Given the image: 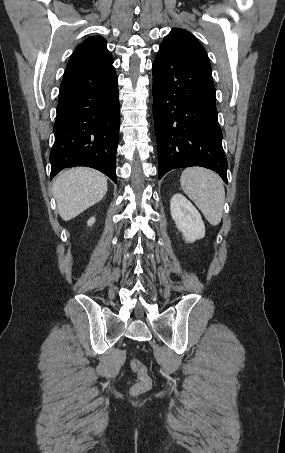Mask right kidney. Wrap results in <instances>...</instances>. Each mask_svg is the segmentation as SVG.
<instances>
[{
    "label": "right kidney",
    "instance_id": "ca27d5eb",
    "mask_svg": "<svg viewBox=\"0 0 285 453\" xmlns=\"http://www.w3.org/2000/svg\"><path fill=\"white\" fill-rule=\"evenodd\" d=\"M94 222H95V218H94V217H91V218L88 220L87 224H88V226H92V225L94 224Z\"/></svg>",
    "mask_w": 285,
    "mask_h": 453
}]
</instances>
